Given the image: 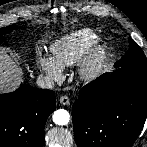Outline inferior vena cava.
<instances>
[{
  "instance_id": "obj_1",
  "label": "inferior vena cava",
  "mask_w": 147,
  "mask_h": 147,
  "mask_svg": "<svg viewBox=\"0 0 147 147\" xmlns=\"http://www.w3.org/2000/svg\"><path fill=\"white\" fill-rule=\"evenodd\" d=\"M36 84L42 89H52L54 87V81L47 76L40 75L37 78Z\"/></svg>"
}]
</instances>
